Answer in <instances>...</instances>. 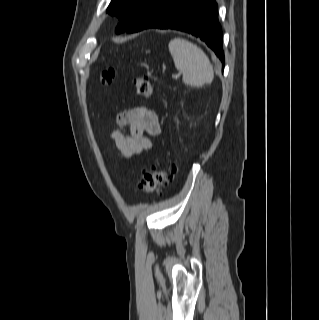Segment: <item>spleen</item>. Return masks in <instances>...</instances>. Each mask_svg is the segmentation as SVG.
I'll use <instances>...</instances> for the list:
<instances>
[{
    "mask_svg": "<svg viewBox=\"0 0 319 320\" xmlns=\"http://www.w3.org/2000/svg\"><path fill=\"white\" fill-rule=\"evenodd\" d=\"M168 47L186 85L200 87L212 82L213 67L199 47L182 38L172 39Z\"/></svg>",
    "mask_w": 319,
    "mask_h": 320,
    "instance_id": "1",
    "label": "spleen"
}]
</instances>
